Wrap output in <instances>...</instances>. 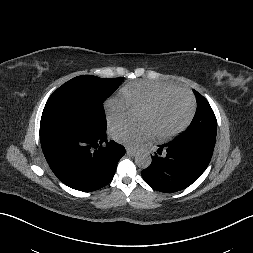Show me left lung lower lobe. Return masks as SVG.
Instances as JSON below:
<instances>
[{
	"mask_svg": "<svg viewBox=\"0 0 253 253\" xmlns=\"http://www.w3.org/2000/svg\"><path fill=\"white\" fill-rule=\"evenodd\" d=\"M162 151L164 154L162 155ZM142 177L153 189L172 193L190 186L207 168L212 154L186 142H169L161 146Z\"/></svg>",
	"mask_w": 253,
	"mask_h": 253,
	"instance_id": "left-lung-lower-lobe-1",
	"label": "left lung lower lobe"
}]
</instances>
